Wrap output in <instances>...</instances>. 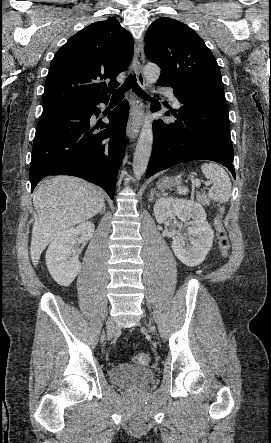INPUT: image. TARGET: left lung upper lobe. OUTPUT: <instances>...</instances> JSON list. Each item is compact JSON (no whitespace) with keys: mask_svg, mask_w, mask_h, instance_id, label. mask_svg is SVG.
Masks as SVG:
<instances>
[{"mask_svg":"<svg viewBox=\"0 0 271 443\" xmlns=\"http://www.w3.org/2000/svg\"><path fill=\"white\" fill-rule=\"evenodd\" d=\"M145 55L161 68V75L223 90L215 57L199 35L187 25L162 17L145 35Z\"/></svg>","mask_w":271,"mask_h":443,"instance_id":"1","label":"left lung upper lobe"}]
</instances>
